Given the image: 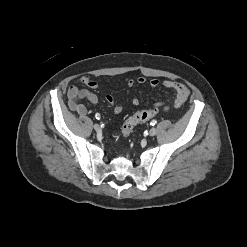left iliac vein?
<instances>
[{
  "label": "left iliac vein",
  "instance_id": "1",
  "mask_svg": "<svg viewBox=\"0 0 247 247\" xmlns=\"http://www.w3.org/2000/svg\"><path fill=\"white\" fill-rule=\"evenodd\" d=\"M156 133H157V130H156V128H154V127L151 128L150 131H149V135H150V136H154V135H156Z\"/></svg>",
  "mask_w": 247,
  "mask_h": 247
}]
</instances>
